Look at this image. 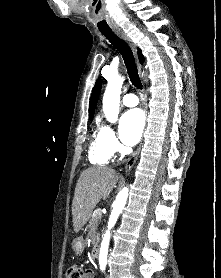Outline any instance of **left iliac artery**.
Returning a JSON list of instances; mask_svg holds the SVG:
<instances>
[{
  "label": "left iliac artery",
  "mask_w": 221,
  "mask_h": 278,
  "mask_svg": "<svg viewBox=\"0 0 221 278\" xmlns=\"http://www.w3.org/2000/svg\"><path fill=\"white\" fill-rule=\"evenodd\" d=\"M105 266H106V263H104V262H101V263H100V268H101V270H105Z\"/></svg>",
  "instance_id": "left-iliac-artery-1"
}]
</instances>
